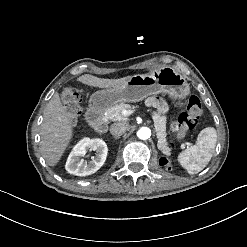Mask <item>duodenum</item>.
Segmentation results:
<instances>
[{
    "label": "duodenum",
    "mask_w": 247,
    "mask_h": 247,
    "mask_svg": "<svg viewBox=\"0 0 247 247\" xmlns=\"http://www.w3.org/2000/svg\"><path fill=\"white\" fill-rule=\"evenodd\" d=\"M86 118L89 127L96 132L105 133L107 131L108 125L99 107L95 105L89 106L86 111Z\"/></svg>",
    "instance_id": "obj_1"
}]
</instances>
